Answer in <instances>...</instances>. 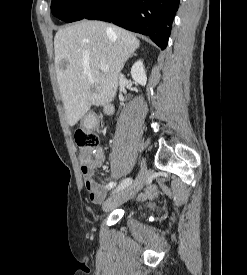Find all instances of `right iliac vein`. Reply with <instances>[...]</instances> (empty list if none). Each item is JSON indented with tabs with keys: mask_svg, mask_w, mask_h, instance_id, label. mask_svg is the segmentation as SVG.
<instances>
[{
	"mask_svg": "<svg viewBox=\"0 0 247 275\" xmlns=\"http://www.w3.org/2000/svg\"><path fill=\"white\" fill-rule=\"evenodd\" d=\"M147 174L148 170L143 161L141 170L138 176L135 178V180L129 186H127V188L106 200L103 204V210H111L114 207L131 199L143 187L145 180L147 178Z\"/></svg>",
	"mask_w": 247,
	"mask_h": 275,
	"instance_id": "right-iliac-vein-1",
	"label": "right iliac vein"
}]
</instances>
